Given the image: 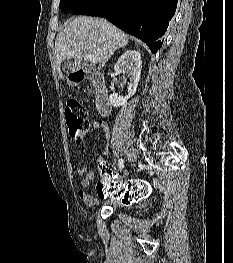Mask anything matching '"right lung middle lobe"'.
Wrapping results in <instances>:
<instances>
[{
	"label": "right lung middle lobe",
	"mask_w": 233,
	"mask_h": 263,
	"mask_svg": "<svg viewBox=\"0 0 233 263\" xmlns=\"http://www.w3.org/2000/svg\"><path fill=\"white\" fill-rule=\"evenodd\" d=\"M100 0H60V9L64 13H89Z\"/></svg>",
	"instance_id": "dd1d6c3e"
}]
</instances>
